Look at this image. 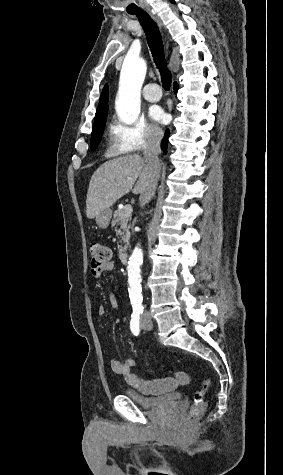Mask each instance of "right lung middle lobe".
Wrapping results in <instances>:
<instances>
[{"label": "right lung middle lobe", "instance_id": "1", "mask_svg": "<svg viewBox=\"0 0 283 475\" xmlns=\"http://www.w3.org/2000/svg\"><path fill=\"white\" fill-rule=\"evenodd\" d=\"M108 105L99 106L95 114L94 125L92 128L90 149H95L100 141L104 131L106 119H107Z\"/></svg>", "mask_w": 283, "mask_h": 475}]
</instances>
